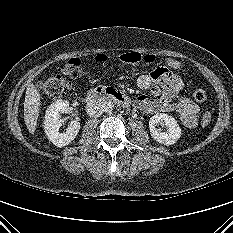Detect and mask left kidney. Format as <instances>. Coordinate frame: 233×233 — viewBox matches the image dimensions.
<instances>
[{
    "mask_svg": "<svg viewBox=\"0 0 233 233\" xmlns=\"http://www.w3.org/2000/svg\"><path fill=\"white\" fill-rule=\"evenodd\" d=\"M159 123L167 127L165 132H162L160 128H157ZM149 129L152 138L156 142L166 146L175 144L181 137V128L175 118L168 114L161 113L152 116L149 120Z\"/></svg>",
    "mask_w": 233,
    "mask_h": 233,
    "instance_id": "left-kidney-1",
    "label": "left kidney"
}]
</instances>
